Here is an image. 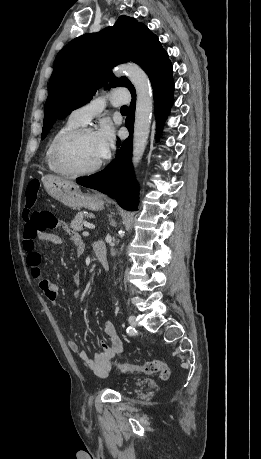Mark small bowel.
<instances>
[{"mask_svg":"<svg viewBox=\"0 0 261 459\" xmlns=\"http://www.w3.org/2000/svg\"><path fill=\"white\" fill-rule=\"evenodd\" d=\"M26 218L28 219V217ZM64 228L67 230L70 238L77 245L78 253H83L84 243L79 234L67 229L66 227ZM37 241L60 245L62 244L63 239L58 234L48 231H36L34 238L23 239V248L27 252V265L32 276L37 280L39 288L42 290L47 299H49L55 306L60 307L58 285L53 282L50 277L43 275L41 272L40 266L42 257L40 252L36 250ZM78 282L79 277L75 276L74 284L77 285ZM76 294L78 293L76 292ZM103 331L107 336V341L101 343L102 351L96 353L93 358L89 357L86 351L80 350L79 344L76 340H68L70 350L77 353L80 360L100 376H104L109 372V361L120 355L123 351L122 343L116 333L115 326L111 321L107 320L104 322Z\"/></svg>","mask_w":261,"mask_h":459,"instance_id":"1","label":"small bowel"}]
</instances>
